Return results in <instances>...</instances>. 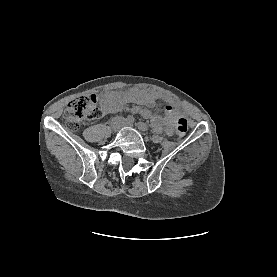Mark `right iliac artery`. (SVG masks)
Masks as SVG:
<instances>
[{
    "label": "right iliac artery",
    "instance_id": "82829eb1",
    "mask_svg": "<svg viewBox=\"0 0 277 277\" xmlns=\"http://www.w3.org/2000/svg\"><path fill=\"white\" fill-rule=\"evenodd\" d=\"M126 121H127L128 123H133V122L135 121V118H134L133 116L129 115V116L126 118Z\"/></svg>",
    "mask_w": 277,
    "mask_h": 277
}]
</instances>
